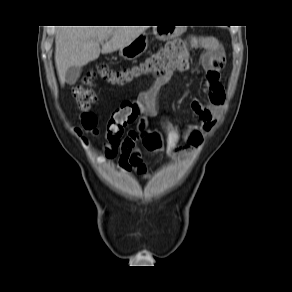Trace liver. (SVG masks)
Listing matches in <instances>:
<instances>
[{
	"instance_id": "1",
	"label": "liver",
	"mask_w": 292,
	"mask_h": 292,
	"mask_svg": "<svg viewBox=\"0 0 292 292\" xmlns=\"http://www.w3.org/2000/svg\"><path fill=\"white\" fill-rule=\"evenodd\" d=\"M145 28L140 26H60L55 37V64L61 85L69 67H82L100 53H112L129 45ZM100 48V43L106 39Z\"/></svg>"
}]
</instances>
